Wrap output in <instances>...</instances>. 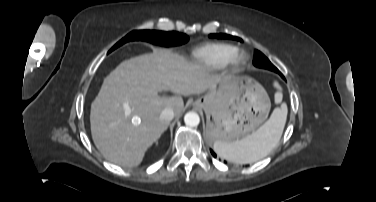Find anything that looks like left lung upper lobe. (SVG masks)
<instances>
[{
    "label": "left lung upper lobe",
    "mask_w": 376,
    "mask_h": 202,
    "mask_svg": "<svg viewBox=\"0 0 376 202\" xmlns=\"http://www.w3.org/2000/svg\"><path fill=\"white\" fill-rule=\"evenodd\" d=\"M209 37L211 38H217V39H232V40H238L242 41L241 38L227 35V34H210ZM253 64L256 67L265 68L272 70L274 72H277L279 75H282L280 71L268 60L267 57H265L260 51L255 50L254 52V61Z\"/></svg>",
    "instance_id": "5c2ea615"
}]
</instances>
